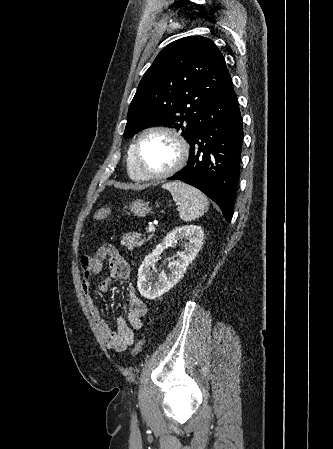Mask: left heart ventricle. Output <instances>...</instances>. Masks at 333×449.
I'll return each instance as SVG.
<instances>
[{"label":"left heart ventricle","mask_w":333,"mask_h":449,"mask_svg":"<svg viewBox=\"0 0 333 449\" xmlns=\"http://www.w3.org/2000/svg\"><path fill=\"white\" fill-rule=\"evenodd\" d=\"M177 155L176 143L164 134H150L140 144V165L145 173H158L168 169L176 161Z\"/></svg>","instance_id":"b2bd125f"}]
</instances>
